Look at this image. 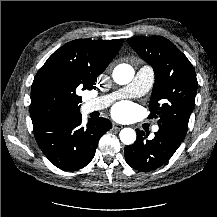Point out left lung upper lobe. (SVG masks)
Listing matches in <instances>:
<instances>
[{"mask_svg": "<svg viewBox=\"0 0 217 217\" xmlns=\"http://www.w3.org/2000/svg\"><path fill=\"white\" fill-rule=\"evenodd\" d=\"M127 42L154 69L149 118L159 117L158 125L167 124L186 133L198 87L192 64L164 37H135Z\"/></svg>", "mask_w": 217, "mask_h": 217, "instance_id": "left-lung-upper-lobe-1", "label": "left lung upper lobe"}]
</instances>
